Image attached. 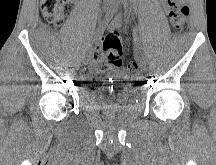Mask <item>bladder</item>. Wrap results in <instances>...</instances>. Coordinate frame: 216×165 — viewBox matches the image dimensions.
Wrapping results in <instances>:
<instances>
[{"label": "bladder", "mask_w": 216, "mask_h": 165, "mask_svg": "<svg viewBox=\"0 0 216 165\" xmlns=\"http://www.w3.org/2000/svg\"><path fill=\"white\" fill-rule=\"evenodd\" d=\"M91 89H83V94H90L95 106H105V111L120 109L131 103L136 96L133 76H126L120 72L112 71L109 76H89L87 82Z\"/></svg>", "instance_id": "31cf9c89"}]
</instances>
